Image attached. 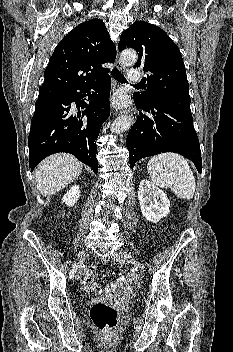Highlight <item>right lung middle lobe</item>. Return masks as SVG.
I'll list each match as a JSON object with an SVG mask.
<instances>
[{
	"label": "right lung middle lobe",
	"mask_w": 233,
	"mask_h": 352,
	"mask_svg": "<svg viewBox=\"0 0 233 352\" xmlns=\"http://www.w3.org/2000/svg\"><path fill=\"white\" fill-rule=\"evenodd\" d=\"M69 91L61 88H39L38 97H49L67 94Z\"/></svg>",
	"instance_id": "dd1d6c3e"
}]
</instances>
